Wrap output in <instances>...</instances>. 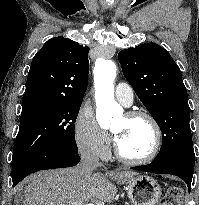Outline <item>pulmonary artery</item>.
<instances>
[{
    "mask_svg": "<svg viewBox=\"0 0 199 205\" xmlns=\"http://www.w3.org/2000/svg\"><path fill=\"white\" fill-rule=\"evenodd\" d=\"M117 100L124 106H130L134 99L132 87L127 83H119L115 88Z\"/></svg>",
    "mask_w": 199,
    "mask_h": 205,
    "instance_id": "1",
    "label": "pulmonary artery"
}]
</instances>
